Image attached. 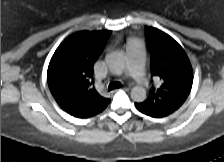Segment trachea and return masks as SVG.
Wrapping results in <instances>:
<instances>
[{
    "instance_id": "3493384b",
    "label": "trachea",
    "mask_w": 224,
    "mask_h": 162,
    "mask_svg": "<svg viewBox=\"0 0 224 162\" xmlns=\"http://www.w3.org/2000/svg\"><path fill=\"white\" fill-rule=\"evenodd\" d=\"M121 87V83L120 82H117V81H114V82H111L108 86V89L109 91L111 90H114V89H118Z\"/></svg>"
}]
</instances>
